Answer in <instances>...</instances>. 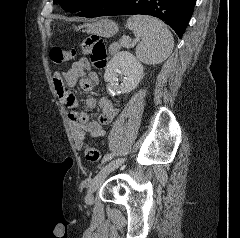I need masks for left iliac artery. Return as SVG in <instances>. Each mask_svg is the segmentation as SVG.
<instances>
[{
    "instance_id": "obj_1",
    "label": "left iliac artery",
    "mask_w": 240,
    "mask_h": 238,
    "mask_svg": "<svg viewBox=\"0 0 240 238\" xmlns=\"http://www.w3.org/2000/svg\"><path fill=\"white\" fill-rule=\"evenodd\" d=\"M132 145L134 146L135 144L133 143ZM114 156H115V154H107V155L104 156L102 162H103V163H104V162H107V161H109L110 159H112Z\"/></svg>"
}]
</instances>
